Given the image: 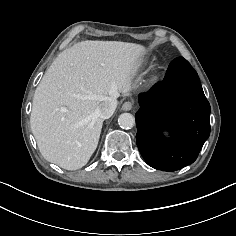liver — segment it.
I'll return each mask as SVG.
<instances>
[{"label": "liver", "mask_w": 236, "mask_h": 236, "mask_svg": "<svg viewBox=\"0 0 236 236\" xmlns=\"http://www.w3.org/2000/svg\"><path fill=\"white\" fill-rule=\"evenodd\" d=\"M144 47L84 41L62 51L36 88L31 130L42 156L66 170L85 166L97 148L109 98L127 94Z\"/></svg>", "instance_id": "obj_1"}]
</instances>
